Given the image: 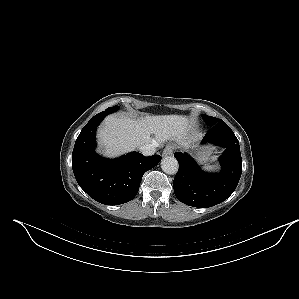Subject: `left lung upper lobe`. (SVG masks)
<instances>
[{
    "label": "left lung upper lobe",
    "instance_id": "1",
    "mask_svg": "<svg viewBox=\"0 0 299 299\" xmlns=\"http://www.w3.org/2000/svg\"><path fill=\"white\" fill-rule=\"evenodd\" d=\"M203 119L205 120V122L210 125L211 127L218 124V123H225L223 120H217L216 118L212 117V116H208L203 114L202 115Z\"/></svg>",
    "mask_w": 299,
    "mask_h": 299
}]
</instances>
